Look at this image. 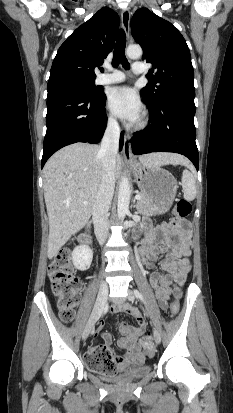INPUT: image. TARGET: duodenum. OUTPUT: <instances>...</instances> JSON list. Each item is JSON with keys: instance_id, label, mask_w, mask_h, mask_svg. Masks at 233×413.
Returning <instances> with one entry per match:
<instances>
[{"instance_id": "duodenum-1", "label": "duodenum", "mask_w": 233, "mask_h": 413, "mask_svg": "<svg viewBox=\"0 0 233 413\" xmlns=\"http://www.w3.org/2000/svg\"><path fill=\"white\" fill-rule=\"evenodd\" d=\"M82 242L85 244H89L90 243V236L88 234H84L82 236Z\"/></svg>"}]
</instances>
